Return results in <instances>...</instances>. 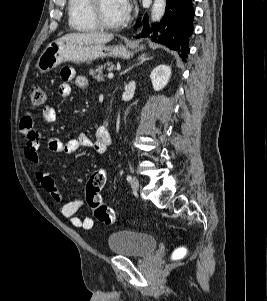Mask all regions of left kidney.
I'll use <instances>...</instances> for the list:
<instances>
[{"instance_id": "5707ae66", "label": "left kidney", "mask_w": 267, "mask_h": 301, "mask_svg": "<svg viewBox=\"0 0 267 301\" xmlns=\"http://www.w3.org/2000/svg\"><path fill=\"white\" fill-rule=\"evenodd\" d=\"M171 68L166 65L157 66L150 74V79L155 91L162 90L169 82Z\"/></svg>"}]
</instances>
